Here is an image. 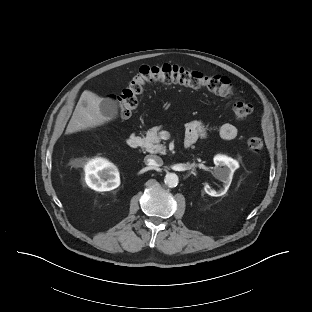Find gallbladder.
Listing matches in <instances>:
<instances>
[{
	"mask_svg": "<svg viewBox=\"0 0 312 312\" xmlns=\"http://www.w3.org/2000/svg\"><path fill=\"white\" fill-rule=\"evenodd\" d=\"M99 109L101 114L109 120H113L118 117V104L113 99L110 98L101 99Z\"/></svg>",
	"mask_w": 312,
	"mask_h": 312,
	"instance_id": "gallbladder-1",
	"label": "gallbladder"
}]
</instances>
